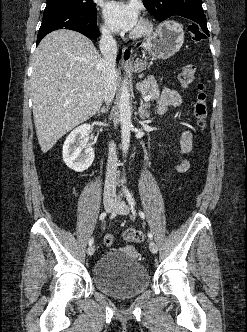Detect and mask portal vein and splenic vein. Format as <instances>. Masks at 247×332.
<instances>
[{
    "label": "portal vein and splenic vein",
    "mask_w": 247,
    "mask_h": 332,
    "mask_svg": "<svg viewBox=\"0 0 247 332\" xmlns=\"http://www.w3.org/2000/svg\"><path fill=\"white\" fill-rule=\"evenodd\" d=\"M90 94H87V96H89ZM144 101H150L151 100V96L150 95H145L143 97Z\"/></svg>",
    "instance_id": "obj_1"
}]
</instances>
